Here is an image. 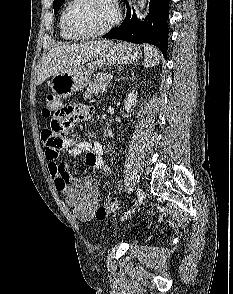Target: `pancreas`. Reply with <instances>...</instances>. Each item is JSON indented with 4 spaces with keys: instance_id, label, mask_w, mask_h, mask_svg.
<instances>
[{
    "instance_id": "obj_1",
    "label": "pancreas",
    "mask_w": 233,
    "mask_h": 294,
    "mask_svg": "<svg viewBox=\"0 0 233 294\" xmlns=\"http://www.w3.org/2000/svg\"><path fill=\"white\" fill-rule=\"evenodd\" d=\"M107 74H101L97 76L87 88L85 92V99H90L93 95H97L99 92H104L107 88L109 83Z\"/></svg>"
}]
</instances>
